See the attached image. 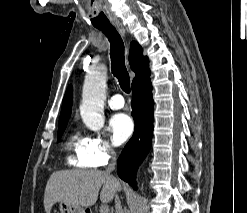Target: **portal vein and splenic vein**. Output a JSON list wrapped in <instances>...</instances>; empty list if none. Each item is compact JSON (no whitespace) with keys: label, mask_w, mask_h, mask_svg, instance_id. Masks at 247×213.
I'll return each mask as SVG.
<instances>
[{"label":"portal vein and splenic vein","mask_w":247,"mask_h":213,"mask_svg":"<svg viewBox=\"0 0 247 213\" xmlns=\"http://www.w3.org/2000/svg\"><path fill=\"white\" fill-rule=\"evenodd\" d=\"M109 212V207L105 204H102L100 206V213H108Z\"/></svg>","instance_id":"obj_1"}]
</instances>
